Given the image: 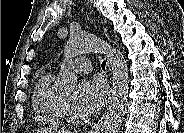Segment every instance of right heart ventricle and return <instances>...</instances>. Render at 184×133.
<instances>
[{"instance_id":"right-heart-ventricle-1","label":"right heart ventricle","mask_w":184,"mask_h":133,"mask_svg":"<svg viewBox=\"0 0 184 133\" xmlns=\"http://www.w3.org/2000/svg\"><path fill=\"white\" fill-rule=\"evenodd\" d=\"M32 100L36 113L46 123L59 124L63 120L64 98L55 85L52 72H45L39 77Z\"/></svg>"}]
</instances>
